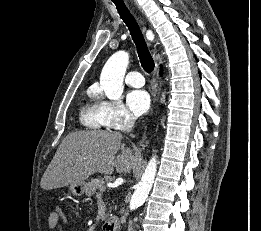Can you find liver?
<instances>
[{
  "instance_id": "6515ba94",
  "label": "liver",
  "mask_w": 261,
  "mask_h": 231,
  "mask_svg": "<svg viewBox=\"0 0 261 231\" xmlns=\"http://www.w3.org/2000/svg\"><path fill=\"white\" fill-rule=\"evenodd\" d=\"M120 132L80 131L67 135L58 147L41 179V188L52 190L84 182L100 172L130 173L137 157L130 148H122Z\"/></svg>"
}]
</instances>
